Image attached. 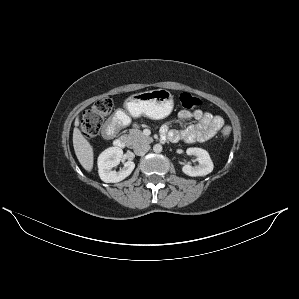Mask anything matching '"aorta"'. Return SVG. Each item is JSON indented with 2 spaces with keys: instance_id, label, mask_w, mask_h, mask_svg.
<instances>
[{
  "instance_id": "762f6f07",
  "label": "aorta",
  "mask_w": 299,
  "mask_h": 299,
  "mask_svg": "<svg viewBox=\"0 0 299 299\" xmlns=\"http://www.w3.org/2000/svg\"><path fill=\"white\" fill-rule=\"evenodd\" d=\"M153 151H154L155 153H160V152L162 151V145H160V144H155V145L153 146Z\"/></svg>"
}]
</instances>
